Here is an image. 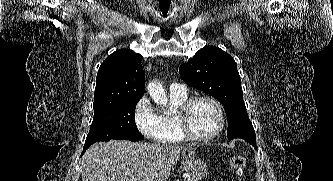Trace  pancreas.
Returning <instances> with one entry per match:
<instances>
[{"instance_id": "cf45deb5", "label": "pancreas", "mask_w": 333, "mask_h": 181, "mask_svg": "<svg viewBox=\"0 0 333 181\" xmlns=\"http://www.w3.org/2000/svg\"><path fill=\"white\" fill-rule=\"evenodd\" d=\"M184 181H198V180L193 178V177H190V178H188L187 180H184Z\"/></svg>"}]
</instances>
